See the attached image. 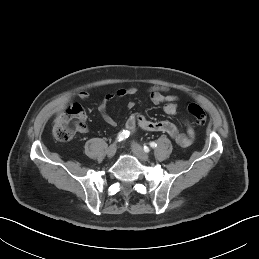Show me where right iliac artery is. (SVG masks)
<instances>
[{"label":"right iliac artery","mask_w":259,"mask_h":259,"mask_svg":"<svg viewBox=\"0 0 259 259\" xmlns=\"http://www.w3.org/2000/svg\"><path fill=\"white\" fill-rule=\"evenodd\" d=\"M128 136H129V132L123 130V131H121V132L118 134L116 140H117L118 142H120V141H123V140H125L126 138H128Z\"/></svg>","instance_id":"obj_1"}]
</instances>
